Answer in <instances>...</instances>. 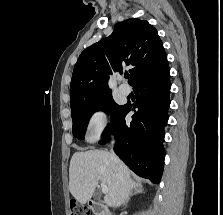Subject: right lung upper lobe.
Returning <instances> with one entry per match:
<instances>
[{"mask_svg":"<svg viewBox=\"0 0 223 215\" xmlns=\"http://www.w3.org/2000/svg\"><path fill=\"white\" fill-rule=\"evenodd\" d=\"M129 70L133 86L168 69L167 55L158 33L147 21L136 18L116 24L112 34L85 49L75 64L71 85V108L111 95L108 75L111 68Z\"/></svg>","mask_w":223,"mask_h":215,"instance_id":"right-lung-upper-lobe-1","label":"right lung upper lobe"}]
</instances>
